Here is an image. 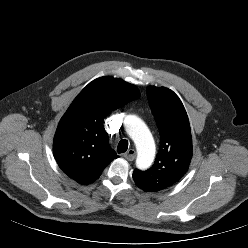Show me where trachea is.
I'll list each match as a JSON object with an SVG mask.
<instances>
[{"mask_svg": "<svg viewBox=\"0 0 248 248\" xmlns=\"http://www.w3.org/2000/svg\"><path fill=\"white\" fill-rule=\"evenodd\" d=\"M128 149V141L126 139H123L119 142L117 151L119 154L125 153Z\"/></svg>", "mask_w": 248, "mask_h": 248, "instance_id": "3493384b", "label": "trachea"}]
</instances>
